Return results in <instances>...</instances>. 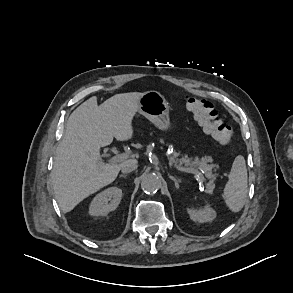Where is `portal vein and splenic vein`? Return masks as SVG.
Masks as SVG:
<instances>
[{
  "label": "portal vein and splenic vein",
  "instance_id": "obj_1",
  "mask_svg": "<svg viewBox=\"0 0 293 293\" xmlns=\"http://www.w3.org/2000/svg\"><path fill=\"white\" fill-rule=\"evenodd\" d=\"M128 157H129L128 153H122V154H118V155L113 156L110 159V161L111 162H122V161L126 160ZM175 168L181 172L194 174L201 182L205 181V179L199 175V172L197 170L181 167L178 165H175Z\"/></svg>",
  "mask_w": 293,
  "mask_h": 293
}]
</instances>
